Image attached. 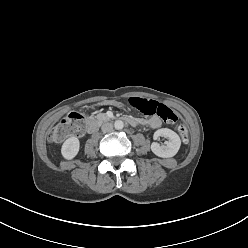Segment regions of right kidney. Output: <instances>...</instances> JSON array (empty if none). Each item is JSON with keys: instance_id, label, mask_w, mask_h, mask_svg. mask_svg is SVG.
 <instances>
[{"instance_id": "right-kidney-1", "label": "right kidney", "mask_w": 248, "mask_h": 248, "mask_svg": "<svg viewBox=\"0 0 248 248\" xmlns=\"http://www.w3.org/2000/svg\"><path fill=\"white\" fill-rule=\"evenodd\" d=\"M80 142L77 137L68 138L62 145L61 153L62 156L67 159H73L79 152Z\"/></svg>"}]
</instances>
